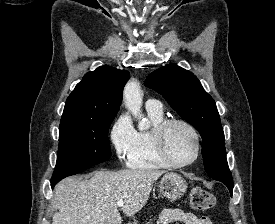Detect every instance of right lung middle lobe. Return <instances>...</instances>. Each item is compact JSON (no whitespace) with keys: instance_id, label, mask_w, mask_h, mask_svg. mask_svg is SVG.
I'll use <instances>...</instances> for the list:
<instances>
[{"instance_id":"obj_1","label":"right lung middle lobe","mask_w":275,"mask_h":224,"mask_svg":"<svg viewBox=\"0 0 275 224\" xmlns=\"http://www.w3.org/2000/svg\"><path fill=\"white\" fill-rule=\"evenodd\" d=\"M112 118L60 123L57 163L51 181L61 180L108 160Z\"/></svg>"}]
</instances>
